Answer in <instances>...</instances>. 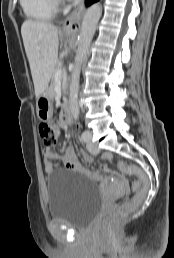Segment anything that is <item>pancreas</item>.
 <instances>
[{
  "mask_svg": "<svg viewBox=\"0 0 174 258\" xmlns=\"http://www.w3.org/2000/svg\"><path fill=\"white\" fill-rule=\"evenodd\" d=\"M61 67H62V63H61V62H58L57 65H56V67H55V69H54V71H53L52 82H51V86H50V88H49L52 97L54 96L55 73H56L57 70L61 69Z\"/></svg>",
  "mask_w": 174,
  "mask_h": 258,
  "instance_id": "obj_1",
  "label": "pancreas"
}]
</instances>
